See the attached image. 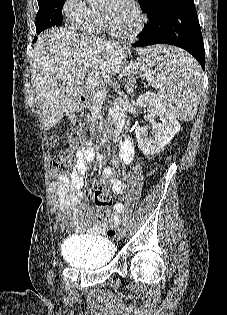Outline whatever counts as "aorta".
Segmentation results:
<instances>
[{
	"label": "aorta",
	"mask_w": 227,
	"mask_h": 315,
	"mask_svg": "<svg viewBox=\"0 0 227 315\" xmlns=\"http://www.w3.org/2000/svg\"><path fill=\"white\" fill-rule=\"evenodd\" d=\"M88 4L90 5H98L103 4L105 0H86Z\"/></svg>",
	"instance_id": "762f6f07"
}]
</instances>
